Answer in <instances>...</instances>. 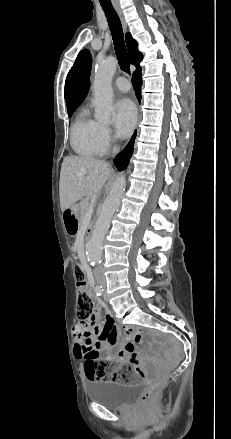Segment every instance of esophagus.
<instances>
[{
    "label": "esophagus",
    "instance_id": "obj_1",
    "mask_svg": "<svg viewBox=\"0 0 231 439\" xmlns=\"http://www.w3.org/2000/svg\"><path fill=\"white\" fill-rule=\"evenodd\" d=\"M117 13H118L120 21L122 23L123 29H124V31H126L127 30V24H126V21H125V18H124V14H123L122 10L120 8H117Z\"/></svg>",
    "mask_w": 231,
    "mask_h": 439
}]
</instances>
